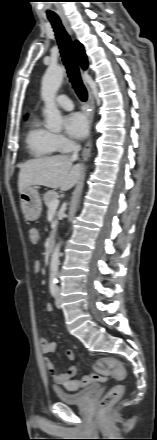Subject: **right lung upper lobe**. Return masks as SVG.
Returning <instances> with one entry per match:
<instances>
[{"mask_svg": "<svg viewBox=\"0 0 157 440\" xmlns=\"http://www.w3.org/2000/svg\"><path fill=\"white\" fill-rule=\"evenodd\" d=\"M75 49H76V54L78 57V60L80 62V65L82 66L83 69L87 68L88 62H87V57L84 51V48L82 46L81 43H79L78 41L75 42Z\"/></svg>", "mask_w": 157, "mask_h": 440, "instance_id": "1", "label": "right lung upper lobe"}]
</instances>
